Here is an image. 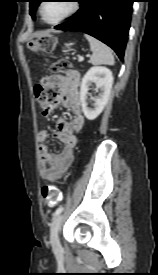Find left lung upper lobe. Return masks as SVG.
<instances>
[{"mask_svg":"<svg viewBox=\"0 0 158 275\" xmlns=\"http://www.w3.org/2000/svg\"><path fill=\"white\" fill-rule=\"evenodd\" d=\"M29 1H30V15L34 18V11L36 10L40 2H42V0H29Z\"/></svg>","mask_w":158,"mask_h":275,"instance_id":"5c2ea615","label":"left lung upper lobe"}]
</instances>
